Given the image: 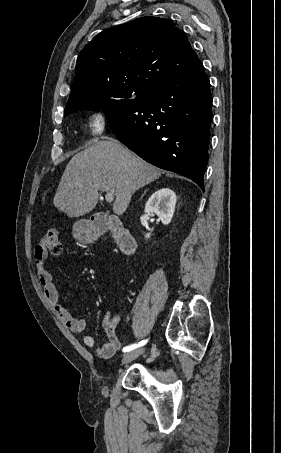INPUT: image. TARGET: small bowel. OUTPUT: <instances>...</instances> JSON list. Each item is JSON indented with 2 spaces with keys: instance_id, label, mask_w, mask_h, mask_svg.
Instances as JSON below:
<instances>
[{
  "instance_id": "c3829d8e",
  "label": "small bowel",
  "mask_w": 281,
  "mask_h": 453,
  "mask_svg": "<svg viewBox=\"0 0 281 453\" xmlns=\"http://www.w3.org/2000/svg\"><path fill=\"white\" fill-rule=\"evenodd\" d=\"M46 255V251H38L35 272L49 305L58 313L59 317L70 331L83 334L82 340L84 344L90 348H94L96 346V338L93 335L84 334L86 321L82 318L72 316L68 308L60 303L53 276L44 264V257ZM77 295L78 294L75 291H70L67 294V298L73 299L77 297ZM121 314L124 316L126 313L123 311ZM117 320L118 316L111 311L106 312L101 320V327L105 330L107 337V342L99 348V356L102 360L114 358L116 353L123 349V346L114 331Z\"/></svg>"
}]
</instances>
